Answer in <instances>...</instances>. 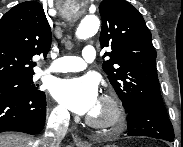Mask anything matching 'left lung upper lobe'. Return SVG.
<instances>
[{"mask_svg":"<svg viewBox=\"0 0 183 147\" xmlns=\"http://www.w3.org/2000/svg\"><path fill=\"white\" fill-rule=\"evenodd\" d=\"M102 68L121 99L125 111L139 103H163L156 71L157 56L149 29L140 12L125 0H103Z\"/></svg>","mask_w":183,"mask_h":147,"instance_id":"left-lung-upper-lobe-1","label":"left lung upper lobe"}]
</instances>
